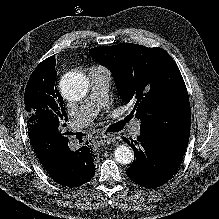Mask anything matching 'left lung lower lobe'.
Wrapping results in <instances>:
<instances>
[{"mask_svg": "<svg viewBox=\"0 0 219 219\" xmlns=\"http://www.w3.org/2000/svg\"><path fill=\"white\" fill-rule=\"evenodd\" d=\"M123 140L136 153V159L127 169V175L145 188L159 187L171 179L188 145V139L175 140L163 134L143 131L136 141L124 137Z\"/></svg>", "mask_w": 219, "mask_h": 219, "instance_id": "left-lung-lower-lobe-1", "label": "left lung lower lobe"}]
</instances>
